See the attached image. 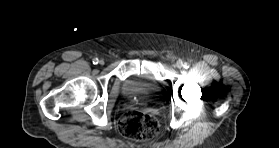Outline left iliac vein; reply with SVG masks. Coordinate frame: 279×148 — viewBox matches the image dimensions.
<instances>
[{
	"label": "left iliac vein",
	"mask_w": 279,
	"mask_h": 148,
	"mask_svg": "<svg viewBox=\"0 0 279 148\" xmlns=\"http://www.w3.org/2000/svg\"><path fill=\"white\" fill-rule=\"evenodd\" d=\"M176 66H177L178 68H181V67L183 66L182 61H177Z\"/></svg>",
	"instance_id": "left-iliac-vein-1"
}]
</instances>
